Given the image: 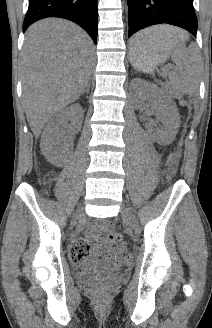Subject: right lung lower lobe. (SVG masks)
Here are the masks:
<instances>
[{
  "label": "right lung lower lobe",
  "mask_w": 212,
  "mask_h": 328,
  "mask_svg": "<svg viewBox=\"0 0 212 328\" xmlns=\"http://www.w3.org/2000/svg\"><path fill=\"white\" fill-rule=\"evenodd\" d=\"M46 17H60L80 25L97 42V0H29L23 31Z\"/></svg>",
  "instance_id": "1"
}]
</instances>
